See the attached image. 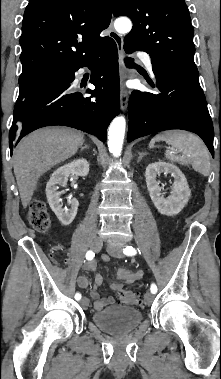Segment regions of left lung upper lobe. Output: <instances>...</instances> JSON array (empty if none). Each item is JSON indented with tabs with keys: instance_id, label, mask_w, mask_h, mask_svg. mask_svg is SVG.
I'll use <instances>...</instances> for the list:
<instances>
[{
	"instance_id": "5c2ea615",
	"label": "left lung upper lobe",
	"mask_w": 221,
	"mask_h": 379,
	"mask_svg": "<svg viewBox=\"0 0 221 379\" xmlns=\"http://www.w3.org/2000/svg\"><path fill=\"white\" fill-rule=\"evenodd\" d=\"M113 14L133 21L124 42L150 53L152 62L198 75L193 26L184 0H112Z\"/></svg>"
}]
</instances>
